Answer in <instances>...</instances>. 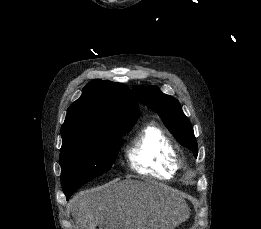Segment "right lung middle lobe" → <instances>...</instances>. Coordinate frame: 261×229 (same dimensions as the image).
<instances>
[{
  "label": "right lung middle lobe",
  "instance_id": "dd1d6c3e",
  "mask_svg": "<svg viewBox=\"0 0 261 229\" xmlns=\"http://www.w3.org/2000/svg\"><path fill=\"white\" fill-rule=\"evenodd\" d=\"M134 123L100 129L102 136L62 145L61 183L67 199L79 187L111 169L119 148Z\"/></svg>",
  "mask_w": 261,
  "mask_h": 229
}]
</instances>
